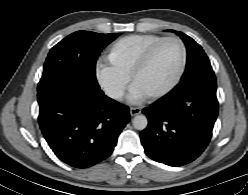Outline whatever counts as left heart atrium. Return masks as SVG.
<instances>
[{
  "label": "left heart atrium",
  "instance_id": "39dd6f15",
  "mask_svg": "<svg viewBox=\"0 0 248 195\" xmlns=\"http://www.w3.org/2000/svg\"><path fill=\"white\" fill-rule=\"evenodd\" d=\"M132 100L138 102L143 98V92L139 89H135L131 94Z\"/></svg>",
  "mask_w": 248,
  "mask_h": 195
}]
</instances>
